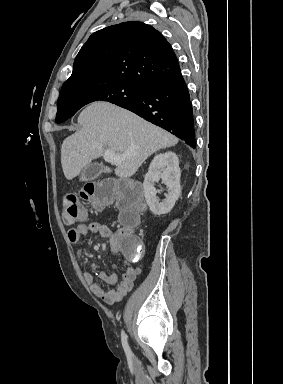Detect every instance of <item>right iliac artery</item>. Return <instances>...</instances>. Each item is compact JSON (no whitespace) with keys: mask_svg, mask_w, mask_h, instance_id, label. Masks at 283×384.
Here are the masks:
<instances>
[{"mask_svg":"<svg viewBox=\"0 0 283 384\" xmlns=\"http://www.w3.org/2000/svg\"><path fill=\"white\" fill-rule=\"evenodd\" d=\"M121 341H122V346L124 348L126 355L128 357L132 356L131 349H130L128 342H127V335L125 334L124 331L121 332Z\"/></svg>","mask_w":283,"mask_h":384,"instance_id":"82829eb1","label":"right iliac artery"}]
</instances>
